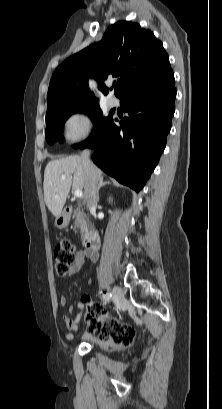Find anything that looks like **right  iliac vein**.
Instances as JSON below:
<instances>
[{
    "instance_id": "right-iliac-vein-1",
    "label": "right iliac vein",
    "mask_w": 222,
    "mask_h": 409,
    "mask_svg": "<svg viewBox=\"0 0 222 409\" xmlns=\"http://www.w3.org/2000/svg\"><path fill=\"white\" fill-rule=\"evenodd\" d=\"M112 293L114 295L115 298H121L123 296V291L120 287H113L112 289Z\"/></svg>"
}]
</instances>
